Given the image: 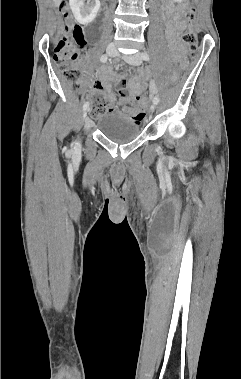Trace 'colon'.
<instances>
[{
  "instance_id": "obj_1",
  "label": "colon",
  "mask_w": 241,
  "mask_h": 379,
  "mask_svg": "<svg viewBox=\"0 0 241 379\" xmlns=\"http://www.w3.org/2000/svg\"><path fill=\"white\" fill-rule=\"evenodd\" d=\"M64 17V33L56 45L54 60L64 77L69 82L71 88L77 89L79 86V67L82 62V55L85 50V37L82 28L73 23L68 7L62 3L59 7ZM184 18L188 23H191L195 18V9L192 5H188L184 9ZM182 40L188 49L191 58L196 56L198 47L197 36L192 30L186 31ZM179 73L174 71L169 79L176 83ZM121 94H125L123 87L120 90ZM139 98L142 103H148L149 97L146 92H140ZM112 110V103L107 96L96 93L91 97V115L97 117L105 112Z\"/></svg>"
}]
</instances>
